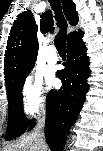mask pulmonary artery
<instances>
[{
  "label": "pulmonary artery",
  "instance_id": "e3ab8cb5",
  "mask_svg": "<svg viewBox=\"0 0 103 151\" xmlns=\"http://www.w3.org/2000/svg\"><path fill=\"white\" fill-rule=\"evenodd\" d=\"M46 60L50 64H55L58 61V56L53 45H49L46 49Z\"/></svg>",
  "mask_w": 103,
  "mask_h": 151
}]
</instances>
